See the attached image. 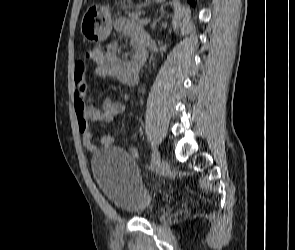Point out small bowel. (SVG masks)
Returning a JSON list of instances; mask_svg holds the SVG:
<instances>
[{"label": "small bowel", "instance_id": "small-bowel-1", "mask_svg": "<svg viewBox=\"0 0 295 250\" xmlns=\"http://www.w3.org/2000/svg\"><path fill=\"white\" fill-rule=\"evenodd\" d=\"M115 28L122 36L130 39L134 48L133 58L129 61L121 60L117 55L116 43H110L104 49L95 48L90 57L97 64L94 74L99 77H115L121 83L133 87L139 83L142 66L138 63V56L141 52L145 53L147 39L126 19L118 20ZM74 108L82 144L87 150L95 151L97 145L90 129V122H110L123 112L124 105L119 101L104 98L98 106L88 91L86 65L83 61H78L74 69ZM113 141L114 138L110 135L102 136L100 139L103 146H110ZM130 155L137 158L138 152L131 149Z\"/></svg>", "mask_w": 295, "mask_h": 250}]
</instances>
